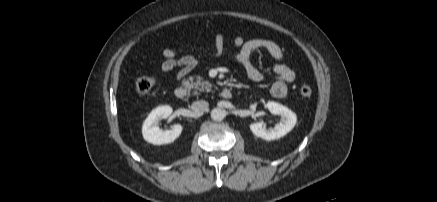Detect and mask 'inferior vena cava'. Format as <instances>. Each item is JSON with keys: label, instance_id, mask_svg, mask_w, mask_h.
Listing matches in <instances>:
<instances>
[{"label": "inferior vena cava", "instance_id": "obj_1", "mask_svg": "<svg viewBox=\"0 0 437 202\" xmlns=\"http://www.w3.org/2000/svg\"><path fill=\"white\" fill-rule=\"evenodd\" d=\"M209 104L206 101H195L191 105V110L195 116H201L208 110Z\"/></svg>", "mask_w": 437, "mask_h": 202}]
</instances>
